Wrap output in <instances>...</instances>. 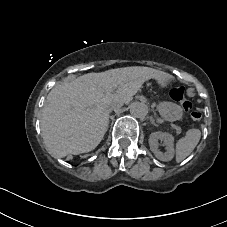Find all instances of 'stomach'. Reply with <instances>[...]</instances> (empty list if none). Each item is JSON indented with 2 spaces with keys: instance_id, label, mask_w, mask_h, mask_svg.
Returning <instances> with one entry per match:
<instances>
[{
  "instance_id": "0dacf381",
  "label": "stomach",
  "mask_w": 227,
  "mask_h": 227,
  "mask_svg": "<svg viewBox=\"0 0 227 227\" xmlns=\"http://www.w3.org/2000/svg\"><path fill=\"white\" fill-rule=\"evenodd\" d=\"M157 110L161 117L165 121L173 122L182 118L183 110L182 108L173 102H160L157 106Z\"/></svg>"
}]
</instances>
